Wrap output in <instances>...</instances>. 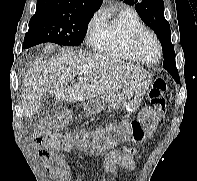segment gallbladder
I'll use <instances>...</instances> for the list:
<instances>
[{
	"label": "gallbladder",
	"mask_w": 197,
	"mask_h": 181,
	"mask_svg": "<svg viewBox=\"0 0 197 181\" xmlns=\"http://www.w3.org/2000/svg\"><path fill=\"white\" fill-rule=\"evenodd\" d=\"M56 101L53 100L51 98V96H48V95H45L43 98H42V101H41V109H40V114H44L46 112H49L50 109L53 107L54 103Z\"/></svg>",
	"instance_id": "obj_1"
}]
</instances>
